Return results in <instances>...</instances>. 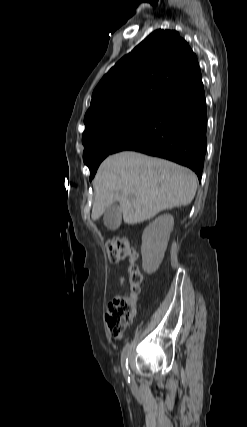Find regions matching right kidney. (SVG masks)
I'll list each match as a JSON object with an SVG mask.
<instances>
[{
  "label": "right kidney",
  "mask_w": 247,
  "mask_h": 427,
  "mask_svg": "<svg viewBox=\"0 0 247 427\" xmlns=\"http://www.w3.org/2000/svg\"><path fill=\"white\" fill-rule=\"evenodd\" d=\"M174 227V218L164 214L156 218L143 231L142 268L147 274H153L159 268Z\"/></svg>",
  "instance_id": "1"
}]
</instances>
